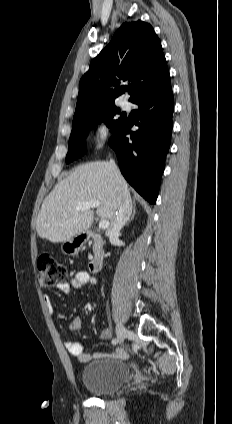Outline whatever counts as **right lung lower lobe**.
<instances>
[{
    "label": "right lung lower lobe",
    "mask_w": 232,
    "mask_h": 424,
    "mask_svg": "<svg viewBox=\"0 0 232 424\" xmlns=\"http://www.w3.org/2000/svg\"><path fill=\"white\" fill-rule=\"evenodd\" d=\"M133 103L139 106L136 116L141 121L136 123L139 130L132 132V125L126 121L112 135L109 145L117 154L125 179L141 196L155 204L172 132L174 101L169 72ZM128 134L130 139L126 137Z\"/></svg>",
    "instance_id": "1"
}]
</instances>
